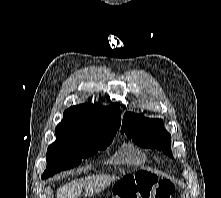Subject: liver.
Instances as JSON below:
<instances>
[{"label":"liver","instance_id":"1","mask_svg":"<svg viewBox=\"0 0 221 198\" xmlns=\"http://www.w3.org/2000/svg\"><path fill=\"white\" fill-rule=\"evenodd\" d=\"M117 178L115 175L98 174L73 180L57 190L56 198H78L82 189L85 190L86 197H91L110 186Z\"/></svg>","mask_w":221,"mask_h":198}]
</instances>
